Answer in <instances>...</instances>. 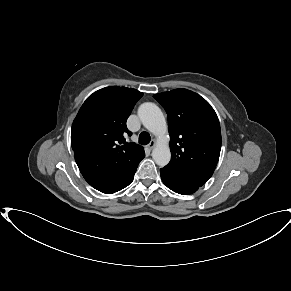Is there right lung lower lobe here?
<instances>
[{"label": "right lung lower lobe", "instance_id": "98d812e1", "mask_svg": "<svg viewBox=\"0 0 291 291\" xmlns=\"http://www.w3.org/2000/svg\"><path fill=\"white\" fill-rule=\"evenodd\" d=\"M145 157L140 156L133 164L121 172L99 175H85V180L95 189L102 193L110 194L127 187L133 180L137 166Z\"/></svg>", "mask_w": 291, "mask_h": 291}]
</instances>
